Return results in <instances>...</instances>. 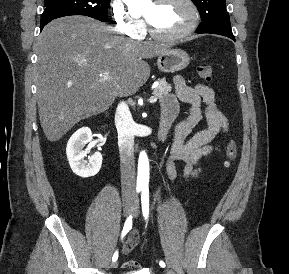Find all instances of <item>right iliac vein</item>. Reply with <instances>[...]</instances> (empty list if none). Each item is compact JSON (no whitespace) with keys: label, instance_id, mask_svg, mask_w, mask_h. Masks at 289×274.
Returning a JSON list of instances; mask_svg holds the SVG:
<instances>
[{"label":"right iliac vein","instance_id":"right-iliac-vein-1","mask_svg":"<svg viewBox=\"0 0 289 274\" xmlns=\"http://www.w3.org/2000/svg\"><path fill=\"white\" fill-rule=\"evenodd\" d=\"M132 211V201L130 198L124 200V214L128 216ZM117 262L111 264L110 268H117Z\"/></svg>","mask_w":289,"mask_h":274}]
</instances>
